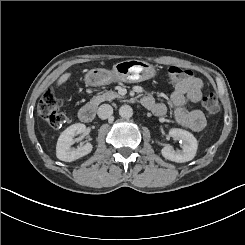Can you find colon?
<instances>
[{"label": "colon", "instance_id": "colon-1", "mask_svg": "<svg viewBox=\"0 0 245 245\" xmlns=\"http://www.w3.org/2000/svg\"><path fill=\"white\" fill-rule=\"evenodd\" d=\"M168 78L173 84L182 82L192 76V72L178 66H171L167 71ZM62 98L53 90H47L38 103L37 111L39 116L51 127L59 128L66 120L65 115L59 110ZM204 110L214 115L219 111V101L214 94L206 96L202 101Z\"/></svg>", "mask_w": 245, "mask_h": 245}]
</instances>
